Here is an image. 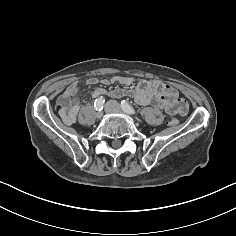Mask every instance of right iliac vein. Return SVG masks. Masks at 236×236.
<instances>
[{"mask_svg": "<svg viewBox=\"0 0 236 236\" xmlns=\"http://www.w3.org/2000/svg\"><path fill=\"white\" fill-rule=\"evenodd\" d=\"M104 111L106 114H109L113 111V104L111 102H107L104 106Z\"/></svg>", "mask_w": 236, "mask_h": 236, "instance_id": "obj_1", "label": "right iliac vein"}]
</instances>
